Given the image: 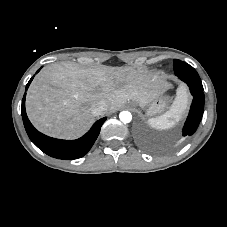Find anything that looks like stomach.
Segmentation results:
<instances>
[{
  "mask_svg": "<svg viewBox=\"0 0 227 227\" xmlns=\"http://www.w3.org/2000/svg\"><path fill=\"white\" fill-rule=\"evenodd\" d=\"M168 102L169 98L167 96L161 95L146 104H141L135 101L129 102V104L134 108L138 107L139 109L143 110L147 117H151L165 111Z\"/></svg>",
  "mask_w": 227,
  "mask_h": 227,
  "instance_id": "obj_1",
  "label": "stomach"
}]
</instances>
